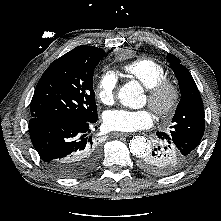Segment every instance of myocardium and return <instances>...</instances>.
<instances>
[{"instance_id":"myocardium-1","label":"myocardium","mask_w":221,"mask_h":221,"mask_svg":"<svg viewBox=\"0 0 221 221\" xmlns=\"http://www.w3.org/2000/svg\"><path fill=\"white\" fill-rule=\"evenodd\" d=\"M148 102L160 118L170 117L180 101V87L170 78H164L147 88Z\"/></svg>"}]
</instances>
